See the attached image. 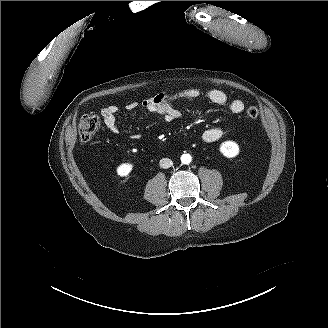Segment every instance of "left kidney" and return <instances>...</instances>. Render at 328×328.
<instances>
[{
  "mask_svg": "<svg viewBox=\"0 0 328 328\" xmlns=\"http://www.w3.org/2000/svg\"><path fill=\"white\" fill-rule=\"evenodd\" d=\"M220 151L226 157H235L239 153V147L235 142L226 141L221 144Z\"/></svg>",
  "mask_w": 328,
  "mask_h": 328,
  "instance_id": "obj_1",
  "label": "left kidney"
}]
</instances>
